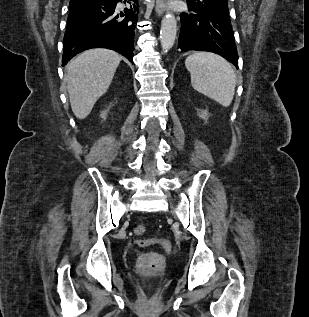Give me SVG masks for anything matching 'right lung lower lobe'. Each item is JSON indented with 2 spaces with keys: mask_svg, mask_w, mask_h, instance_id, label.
Returning a JSON list of instances; mask_svg holds the SVG:
<instances>
[{
  "mask_svg": "<svg viewBox=\"0 0 309 317\" xmlns=\"http://www.w3.org/2000/svg\"><path fill=\"white\" fill-rule=\"evenodd\" d=\"M122 0H71L63 45V66L76 54L90 48L115 50L133 61L134 29L138 21V1L129 0L119 11Z\"/></svg>",
  "mask_w": 309,
  "mask_h": 317,
  "instance_id": "right-lung-lower-lobe-1",
  "label": "right lung lower lobe"
}]
</instances>
